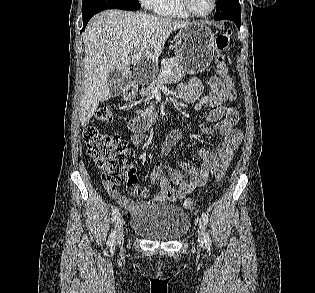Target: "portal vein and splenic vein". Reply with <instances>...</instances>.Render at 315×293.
<instances>
[{"instance_id":"obj_1","label":"portal vein and splenic vein","mask_w":315,"mask_h":293,"mask_svg":"<svg viewBox=\"0 0 315 293\" xmlns=\"http://www.w3.org/2000/svg\"><path fill=\"white\" fill-rule=\"evenodd\" d=\"M138 44H139V41L135 42V43H134V46L136 47V46H138ZM169 72H170L169 69H164V70L161 69L160 75H161V76L167 75Z\"/></svg>"}]
</instances>
